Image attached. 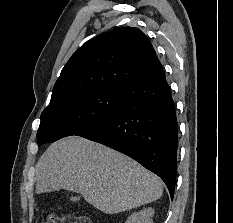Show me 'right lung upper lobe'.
I'll use <instances>...</instances> for the list:
<instances>
[{"instance_id": "right-lung-upper-lobe-1", "label": "right lung upper lobe", "mask_w": 233, "mask_h": 223, "mask_svg": "<svg viewBox=\"0 0 233 223\" xmlns=\"http://www.w3.org/2000/svg\"><path fill=\"white\" fill-rule=\"evenodd\" d=\"M162 70L141 30L118 27L88 41L71 56L55 83L51 100L93 88L122 89Z\"/></svg>"}]
</instances>
